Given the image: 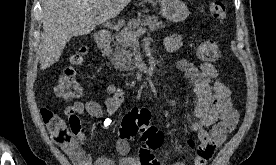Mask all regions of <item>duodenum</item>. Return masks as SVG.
<instances>
[{"label": "duodenum", "instance_id": "obj_1", "mask_svg": "<svg viewBox=\"0 0 276 165\" xmlns=\"http://www.w3.org/2000/svg\"><path fill=\"white\" fill-rule=\"evenodd\" d=\"M96 40L100 48L106 49L110 45V35L106 32H99L96 35Z\"/></svg>", "mask_w": 276, "mask_h": 165}]
</instances>
